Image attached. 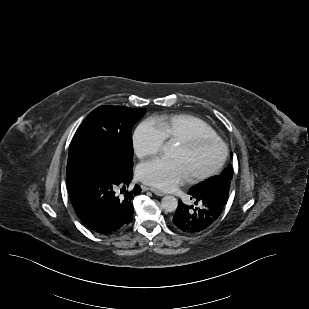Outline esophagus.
Instances as JSON below:
<instances>
[{"mask_svg":"<svg viewBox=\"0 0 309 309\" xmlns=\"http://www.w3.org/2000/svg\"><path fill=\"white\" fill-rule=\"evenodd\" d=\"M149 190L151 191V192H153L155 195H157V196H164L165 195V193L164 192H162V191H160V190H158V189H156V188H149Z\"/></svg>","mask_w":309,"mask_h":309,"instance_id":"obj_1","label":"esophagus"}]
</instances>
